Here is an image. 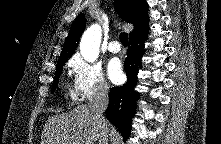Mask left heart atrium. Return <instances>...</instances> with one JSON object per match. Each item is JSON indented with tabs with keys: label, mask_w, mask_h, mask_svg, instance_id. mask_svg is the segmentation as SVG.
Masks as SVG:
<instances>
[{
	"label": "left heart atrium",
	"mask_w": 221,
	"mask_h": 144,
	"mask_svg": "<svg viewBox=\"0 0 221 144\" xmlns=\"http://www.w3.org/2000/svg\"><path fill=\"white\" fill-rule=\"evenodd\" d=\"M108 75L112 82L119 83L123 78L122 65L118 59H113L108 64Z\"/></svg>",
	"instance_id": "1"
}]
</instances>
